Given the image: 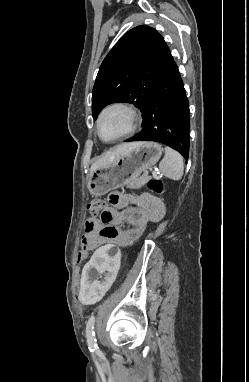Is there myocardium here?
Listing matches in <instances>:
<instances>
[{
	"label": "myocardium",
	"instance_id": "1",
	"mask_svg": "<svg viewBox=\"0 0 249 382\" xmlns=\"http://www.w3.org/2000/svg\"><path fill=\"white\" fill-rule=\"evenodd\" d=\"M115 110L122 111L126 114L128 119V128L124 133L116 137L107 139V138H104L101 134V131H100L101 121L109 112L115 111ZM139 123H140V115L138 114L137 110L132 105L125 102H113L105 106L99 113L96 120V132L100 140H102L103 142L113 143L116 141L126 139L130 137L131 135H133L137 127L139 126Z\"/></svg>",
	"mask_w": 249,
	"mask_h": 382
}]
</instances>
